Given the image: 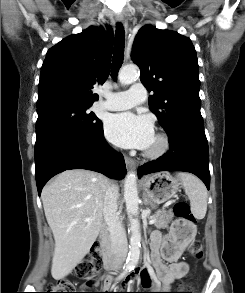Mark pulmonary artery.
<instances>
[{"instance_id":"obj_1","label":"pulmonary artery","mask_w":245,"mask_h":293,"mask_svg":"<svg viewBox=\"0 0 245 293\" xmlns=\"http://www.w3.org/2000/svg\"><path fill=\"white\" fill-rule=\"evenodd\" d=\"M106 100L102 107L106 110L119 111L130 109L146 99V90L142 84H133L128 91L103 93Z\"/></svg>"}]
</instances>
